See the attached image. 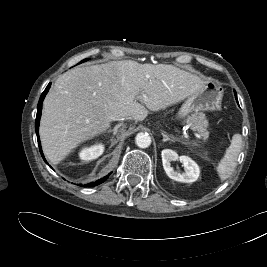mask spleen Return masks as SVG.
Segmentation results:
<instances>
[{"instance_id":"obj_1","label":"spleen","mask_w":267,"mask_h":267,"mask_svg":"<svg viewBox=\"0 0 267 267\" xmlns=\"http://www.w3.org/2000/svg\"><path fill=\"white\" fill-rule=\"evenodd\" d=\"M242 148V136L234 134L229 147L217 166V173L221 181L228 179L236 168V161Z\"/></svg>"}]
</instances>
